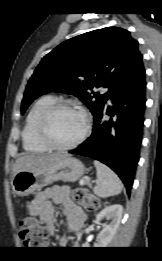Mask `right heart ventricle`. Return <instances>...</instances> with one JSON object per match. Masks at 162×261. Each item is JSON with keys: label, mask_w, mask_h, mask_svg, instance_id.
<instances>
[{"label": "right heart ventricle", "mask_w": 162, "mask_h": 261, "mask_svg": "<svg viewBox=\"0 0 162 261\" xmlns=\"http://www.w3.org/2000/svg\"><path fill=\"white\" fill-rule=\"evenodd\" d=\"M55 102L56 99L53 96L44 95L38 98L29 110L22 131L23 147L26 151L43 153L48 150L39 140L37 125L42 113Z\"/></svg>", "instance_id": "right-heart-ventricle-1"}]
</instances>
